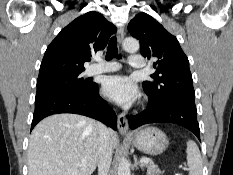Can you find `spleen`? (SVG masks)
<instances>
[{"label":"spleen","mask_w":233,"mask_h":175,"mask_svg":"<svg viewBox=\"0 0 233 175\" xmlns=\"http://www.w3.org/2000/svg\"><path fill=\"white\" fill-rule=\"evenodd\" d=\"M187 164L189 167V175H202V158L197 144L189 140L187 141Z\"/></svg>","instance_id":"1"}]
</instances>
